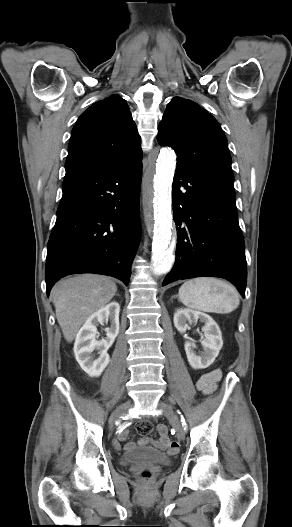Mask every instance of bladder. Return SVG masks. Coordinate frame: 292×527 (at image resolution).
<instances>
[{
    "label": "bladder",
    "instance_id": "obj_1",
    "mask_svg": "<svg viewBox=\"0 0 292 527\" xmlns=\"http://www.w3.org/2000/svg\"><path fill=\"white\" fill-rule=\"evenodd\" d=\"M170 457L163 452L147 449L135 448L125 452L120 460L122 465L130 464H164L170 463Z\"/></svg>",
    "mask_w": 292,
    "mask_h": 527
}]
</instances>
